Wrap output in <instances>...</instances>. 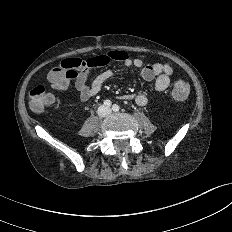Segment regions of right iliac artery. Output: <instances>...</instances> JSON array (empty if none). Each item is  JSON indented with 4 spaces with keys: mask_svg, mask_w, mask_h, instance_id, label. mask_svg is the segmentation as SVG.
<instances>
[{
    "mask_svg": "<svg viewBox=\"0 0 232 232\" xmlns=\"http://www.w3.org/2000/svg\"><path fill=\"white\" fill-rule=\"evenodd\" d=\"M104 105L107 106V107L111 106V101L110 100H105Z\"/></svg>",
    "mask_w": 232,
    "mask_h": 232,
    "instance_id": "1",
    "label": "right iliac artery"
}]
</instances>
